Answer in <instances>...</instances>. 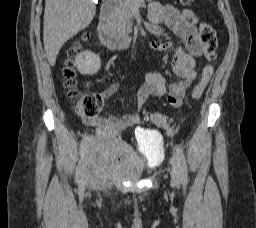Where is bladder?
Here are the masks:
<instances>
[{
  "instance_id": "1",
  "label": "bladder",
  "mask_w": 256,
  "mask_h": 228,
  "mask_svg": "<svg viewBox=\"0 0 256 228\" xmlns=\"http://www.w3.org/2000/svg\"><path fill=\"white\" fill-rule=\"evenodd\" d=\"M144 153L119 137L99 133L87 137L86 156L90 167L109 177L139 178L147 169L155 167L164 154L163 140L159 135L143 134Z\"/></svg>"
}]
</instances>
